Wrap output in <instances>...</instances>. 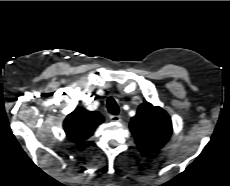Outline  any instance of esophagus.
<instances>
[{
    "label": "esophagus",
    "instance_id": "1",
    "mask_svg": "<svg viewBox=\"0 0 230 186\" xmlns=\"http://www.w3.org/2000/svg\"><path fill=\"white\" fill-rule=\"evenodd\" d=\"M110 120L113 122H120L121 116L120 115H110Z\"/></svg>",
    "mask_w": 230,
    "mask_h": 186
}]
</instances>
